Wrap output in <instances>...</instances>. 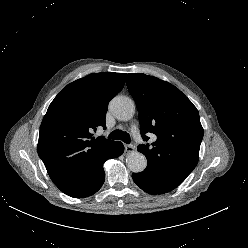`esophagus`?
Instances as JSON below:
<instances>
[{"instance_id":"esophagus-1","label":"esophagus","mask_w":248,"mask_h":248,"mask_svg":"<svg viewBox=\"0 0 248 248\" xmlns=\"http://www.w3.org/2000/svg\"><path fill=\"white\" fill-rule=\"evenodd\" d=\"M135 151V146L132 145V144H129V145H125V152L126 153H132Z\"/></svg>"}]
</instances>
